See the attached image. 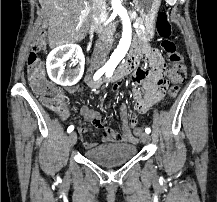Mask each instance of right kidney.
I'll list each match as a JSON object with an SVG mask.
<instances>
[{"label":"right kidney","instance_id":"1","mask_svg":"<svg viewBox=\"0 0 217 202\" xmlns=\"http://www.w3.org/2000/svg\"><path fill=\"white\" fill-rule=\"evenodd\" d=\"M69 58L76 64L75 70H64L63 66ZM84 64V54L77 44H65L54 48L48 54L46 62L49 78L60 86H75L83 76Z\"/></svg>","mask_w":217,"mask_h":202}]
</instances>
